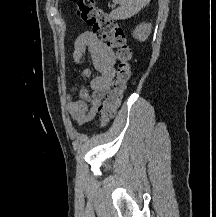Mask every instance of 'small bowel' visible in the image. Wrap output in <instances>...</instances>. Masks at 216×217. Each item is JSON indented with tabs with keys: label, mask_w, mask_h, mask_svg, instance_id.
Segmentation results:
<instances>
[{
	"label": "small bowel",
	"mask_w": 216,
	"mask_h": 217,
	"mask_svg": "<svg viewBox=\"0 0 216 217\" xmlns=\"http://www.w3.org/2000/svg\"><path fill=\"white\" fill-rule=\"evenodd\" d=\"M86 59L90 65L86 64ZM73 61L81 66L80 77L89 79L91 90L79 85L77 100L72 99L71 93L65 95L69 114L77 125L82 126L95 118L102 100L110 90L115 76V55L95 33L86 31L75 40ZM91 66L97 70L96 76H92Z\"/></svg>",
	"instance_id": "1"
}]
</instances>
